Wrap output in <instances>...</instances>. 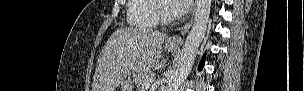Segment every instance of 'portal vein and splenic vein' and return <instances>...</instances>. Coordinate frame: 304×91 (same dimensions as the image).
Returning a JSON list of instances; mask_svg holds the SVG:
<instances>
[{
    "label": "portal vein and splenic vein",
    "mask_w": 304,
    "mask_h": 91,
    "mask_svg": "<svg viewBox=\"0 0 304 91\" xmlns=\"http://www.w3.org/2000/svg\"><path fill=\"white\" fill-rule=\"evenodd\" d=\"M149 88V84H145L144 89L147 90Z\"/></svg>",
    "instance_id": "18ae733b"
}]
</instances>
